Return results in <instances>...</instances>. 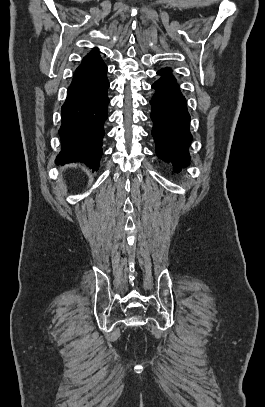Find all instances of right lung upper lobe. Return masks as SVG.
Instances as JSON below:
<instances>
[{
    "label": "right lung upper lobe",
    "mask_w": 265,
    "mask_h": 407,
    "mask_svg": "<svg viewBox=\"0 0 265 407\" xmlns=\"http://www.w3.org/2000/svg\"><path fill=\"white\" fill-rule=\"evenodd\" d=\"M95 53H97V49H93L88 55H92V54H95Z\"/></svg>",
    "instance_id": "right-lung-upper-lobe-1"
}]
</instances>
